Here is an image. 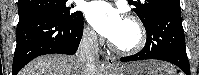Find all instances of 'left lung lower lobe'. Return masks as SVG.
Wrapping results in <instances>:
<instances>
[{
  "label": "left lung lower lobe",
  "instance_id": "left-lung-lower-lobe-1",
  "mask_svg": "<svg viewBox=\"0 0 199 75\" xmlns=\"http://www.w3.org/2000/svg\"><path fill=\"white\" fill-rule=\"evenodd\" d=\"M144 27L147 32L144 48L135 55L122 57L121 61L164 60L190 75L180 6L172 5L159 9Z\"/></svg>",
  "mask_w": 199,
  "mask_h": 75
}]
</instances>
